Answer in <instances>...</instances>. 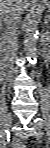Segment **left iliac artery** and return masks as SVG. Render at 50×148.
Returning a JSON list of instances; mask_svg holds the SVG:
<instances>
[{
	"instance_id": "1",
	"label": "left iliac artery",
	"mask_w": 50,
	"mask_h": 148,
	"mask_svg": "<svg viewBox=\"0 0 50 148\" xmlns=\"http://www.w3.org/2000/svg\"><path fill=\"white\" fill-rule=\"evenodd\" d=\"M36 123H37L40 127H43V126H44V121H43V119H41V118H37V119H36Z\"/></svg>"
}]
</instances>
